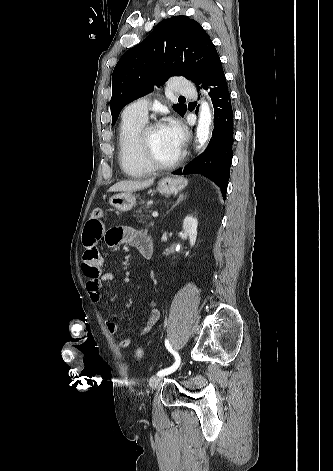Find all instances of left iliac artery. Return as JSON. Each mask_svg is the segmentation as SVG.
I'll return each mask as SVG.
<instances>
[{
  "label": "left iliac artery",
  "mask_w": 333,
  "mask_h": 471,
  "mask_svg": "<svg viewBox=\"0 0 333 471\" xmlns=\"http://www.w3.org/2000/svg\"><path fill=\"white\" fill-rule=\"evenodd\" d=\"M165 346L168 349V351L173 354V356L175 358V362L172 366L160 370L157 373V376L167 375V374H170V373L174 372L179 367L180 362H181L179 354L172 348V346L170 345L168 340H165Z\"/></svg>",
  "instance_id": "left-iliac-artery-1"
}]
</instances>
